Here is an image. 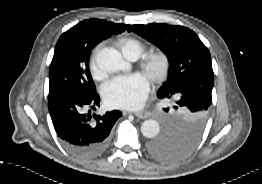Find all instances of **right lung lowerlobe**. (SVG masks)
I'll list each match as a JSON object with an SVG mask.
<instances>
[{
	"label": "right lung lower lobe",
	"mask_w": 262,
	"mask_h": 184,
	"mask_svg": "<svg viewBox=\"0 0 262 184\" xmlns=\"http://www.w3.org/2000/svg\"><path fill=\"white\" fill-rule=\"evenodd\" d=\"M99 101L97 93L81 94L68 90L49 92L50 116L58 136L66 145L80 148L103 142L108 137L122 114L119 111L107 112L104 116L92 114V109L100 106Z\"/></svg>",
	"instance_id": "98d812e1"
}]
</instances>
